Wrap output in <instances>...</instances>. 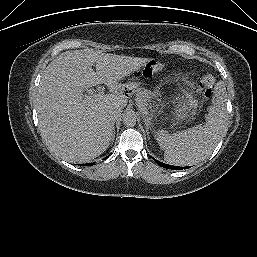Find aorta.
<instances>
[{
	"label": "aorta",
	"instance_id": "762f6f07",
	"mask_svg": "<svg viewBox=\"0 0 257 257\" xmlns=\"http://www.w3.org/2000/svg\"><path fill=\"white\" fill-rule=\"evenodd\" d=\"M137 116L135 112L129 111L123 117V123L126 127H133L136 125Z\"/></svg>",
	"mask_w": 257,
	"mask_h": 257
}]
</instances>
